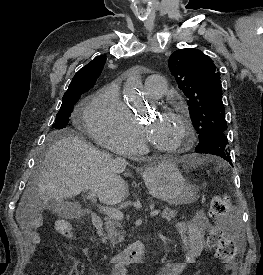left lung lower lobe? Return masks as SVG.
<instances>
[{"label":"left lung lower lobe","mask_w":263,"mask_h":275,"mask_svg":"<svg viewBox=\"0 0 263 275\" xmlns=\"http://www.w3.org/2000/svg\"><path fill=\"white\" fill-rule=\"evenodd\" d=\"M195 152L220 156L232 165L225 132L214 134L200 141L195 148Z\"/></svg>","instance_id":"left-lung-lower-lobe-1"}]
</instances>
